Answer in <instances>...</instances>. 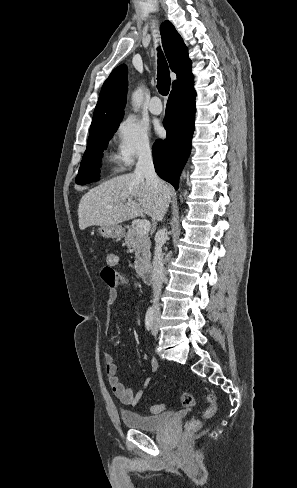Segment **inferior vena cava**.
<instances>
[{
    "label": "inferior vena cava",
    "mask_w": 297,
    "mask_h": 488,
    "mask_svg": "<svg viewBox=\"0 0 297 488\" xmlns=\"http://www.w3.org/2000/svg\"><path fill=\"white\" fill-rule=\"evenodd\" d=\"M134 173L136 176H144L145 179L158 190H162L164 188L163 182L159 179L155 172L151 148L149 145H145L142 147ZM166 240V230L164 228L160 229L155 236V249L152 271L153 314L155 318L160 317L159 298L164 281L162 246L166 242Z\"/></svg>",
    "instance_id": "obj_1"
}]
</instances>
